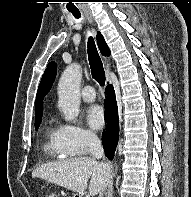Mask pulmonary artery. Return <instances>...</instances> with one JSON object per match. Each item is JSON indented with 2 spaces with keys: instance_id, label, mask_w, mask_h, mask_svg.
Segmentation results:
<instances>
[{
  "instance_id": "obj_1",
  "label": "pulmonary artery",
  "mask_w": 191,
  "mask_h": 197,
  "mask_svg": "<svg viewBox=\"0 0 191 197\" xmlns=\"http://www.w3.org/2000/svg\"><path fill=\"white\" fill-rule=\"evenodd\" d=\"M81 96L85 102H93L96 99V94L91 86H85L81 91Z\"/></svg>"
}]
</instances>
